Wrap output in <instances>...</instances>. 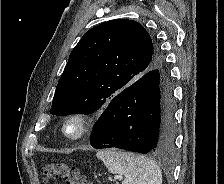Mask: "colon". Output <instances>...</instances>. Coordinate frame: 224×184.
I'll return each instance as SVG.
<instances>
[{"label": "colon", "mask_w": 224, "mask_h": 184, "mask_svg": "<svg viewBox=\"0 0 224 184\" xmlns=\"http://www.w3.org/2000/svg\"><path fill=\"white\" fill-rule=\"evenodd\" d=\"M45 183L62 180L64 184H93L77 166L65 162H49L41 169Z\"/></svg>", "instance_id": "obj_1"}]
</instances>
